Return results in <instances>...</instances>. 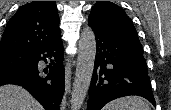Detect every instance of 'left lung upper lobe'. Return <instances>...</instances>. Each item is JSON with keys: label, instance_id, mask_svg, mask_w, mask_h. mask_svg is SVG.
I'll return each instance as SVG.
<instances>
[{"label": "left lung upper lobe", "instance_id": "obj_1", "mask_svg": "<svg viewBox=\"0 0 171 110\" xmlns=\"http://www.w3.org/2000/svg\"><path fill=\"white\" fill-rule=\"evenodd\" d=\"M88 21L110 36L143 50L132 20L116 4L98 1L92 7Z\"/></svg>", "mask_w": 171, "mask_h": 110}]
</instances>
